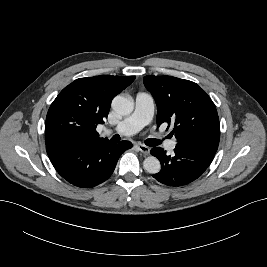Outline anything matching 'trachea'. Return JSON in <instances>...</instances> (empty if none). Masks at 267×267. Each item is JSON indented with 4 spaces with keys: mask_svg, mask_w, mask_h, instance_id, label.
<instances>
[{
    "mask_svg": "<svg viewBox=\"0 0 267 267\" xmlns=\"http://www.w3.org/2000/svg\"><path fill=\"white\" fill-rule=\"evenodd\" d=\"M119 139H120V137L117 136V135H115V136L112 137V140H113V141H116V142L119 141ZM149 142H150L153 146H157V145H159V144L161 143L160 140H157V139H150Z\"/></svg>",
    "mask_w": 267,
    "mask_h": 267,
    "instance_id": "trachea-1",
    "label": "trachea"
}]
</instances>
